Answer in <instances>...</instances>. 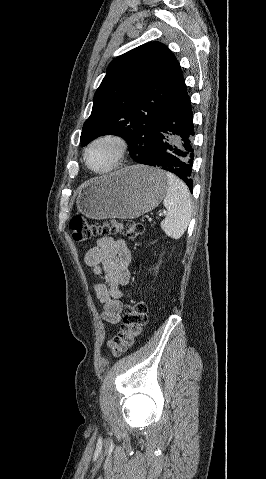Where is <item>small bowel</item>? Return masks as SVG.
Masks as SVG:
<instances>
[{
	"label": "small bowel",
	"mask_w": 266,
	"mask_h": 479,
	"mask_svg": "<svg viewBox=\"0 0 266 479\" xmlns=\"http://www.w3.org/2000/svg\"><path fill=\"white\" fill-rule=\"evenodd\" d=\"M131 259L125 242L108 236L99 238L97 245L90 248L84 257L94 275L102 278V282L96 283L93 288L96 297L103 304V320L112 325L121 321L124 297L122 287L130 280Z\"/></svg>",
	"instance_id": "c3829d8e"
}]
</instances>
